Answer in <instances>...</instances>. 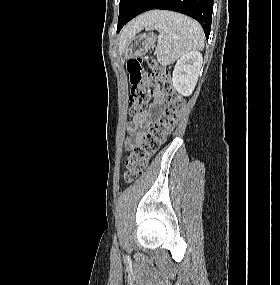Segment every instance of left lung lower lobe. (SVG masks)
<instances>
[{"mask_svg":"<svg viewBox=\"0 0 280 285\" xmlns=\"http://www.w3.org/2000/svg\"><path fill=\"white\" fill-rule=\"evenodd\" d=\"M214 0H137L126 21L120 29L135 16L152 9L172 10L186 14L196 19L202 26L206 38L211 29L212 11Z\"/></svg>","mask_w":280,"mask_h":285,"instance_id":"obj_1","label":"left lung lower lobe"}]
</instances>
